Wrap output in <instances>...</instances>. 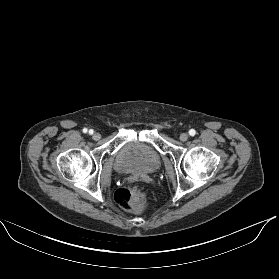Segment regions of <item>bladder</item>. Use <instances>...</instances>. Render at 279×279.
Returning a JSON list of instances; mask_svg holds the SVG:
<instances>
[{
    "label": "bladder",
    "mask_w": 279,
    "mask_h": 279,
    "mask_svg": "<svg viewBox=\"0 0 279 279\" xmlns=\"http://www.w3.org/2000/svg\"><path fill=\"white\" fill-rule=\"evenodd\" d=\"M115 169L127 176L144 179L161 167V158L154 147L140 140L123 143L114 153Z\"/></svg>",
    "instance_id": "bladder-1"
}]
</instances>
